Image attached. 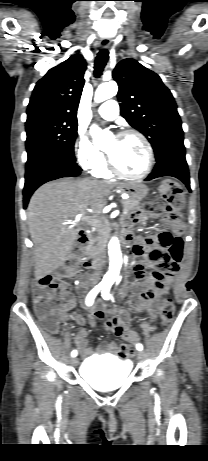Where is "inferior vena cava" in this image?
I'll list each match as a JSON object with an SVG mask.
<instances>
[{
	"instance_id": "602c4592",
	"label": "inferior vena cava",
	"mask_w": 208,
	"mask_h": 461,
	"mask_svg": "<svg viewBox=\"0 0 208 461\" xmlns=\"http://www.w3.org/2000/svg\"><path fill=\"white\" fill-rule=\"evenodd\" d=\"M103 264H104V252L101 251V253H100V259H99L98 262L96 263V265H95V271L93 272V277H94V279H99V276H100V273H101Z\"/></svg>"
}]
</instances>
